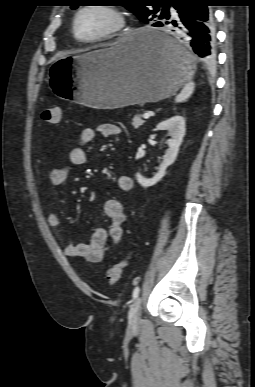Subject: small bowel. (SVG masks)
Instances as JSON below:
<instances>
[{
  "label": "small bowel",
  "instance_id": "c3829d8e",
  "mask_svg": "<svg viewBox=\"0 0 255 387\" xmlns=\"http://www.w3.org/2000/svg\"><path fill=\"white\" fill-rule=\"evenodd\" d=\"M121 133V128L114 123H103L96 128H84L78 143L68 154V163L54 166L49 173L50 184L54 187L63 185L70 177L73 166H80L87 161L85 146L93 142L97 136L111 137ZM117 187L122 192H128L133 187L130 176L122 175L117 179ZM102 213L108 221V229L97 227L89 242L70 244L65 246L64 253L86 263L99 264L104 260L105 254L122 238L123 225L126 213L123 204L118 199H109L102 205ZM47 221L50 227L57 228L60 223L59 215L55 211L48 214Z\"/></svg>",
  "mask_w": 255,
  "mask_h": 387
}]
</instances>
